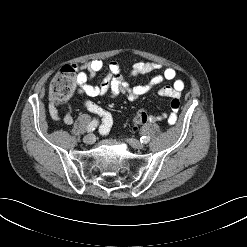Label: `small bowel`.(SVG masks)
<instances>
[{"label":"small bowel","mask_w":247,"mask_h":247,"mask_svg":"<svg viewBox=\"0 0 247 247\" xmlns=\"http://www.w3.org/2000/svg\"><path fill=\"white\" fill-rule=\"evenodd\" d=\"M74 67L78 69L76 76L78 93L86 97L82 99V106L89 112L94 113L101 118V134L107 135L109 133L113 125V116L111 112L91 101L89 98L110 93L112 97L123 94L129 100L133 101L149 93L155 86L166 80H172L173 84L171 86L159 88L157 94L160 97H166L171 100L172 112L169 115L164 114L162 117L166 118L170 123H173L176 120L178 109L172 108V102L176 99L179 100L185 84L181 78H178V72L175 68L167 67L163 71L157 73L161 69L160 64L156 62H136L132 65L126 76L122 74L121 67L116 61H110L105 65L102 60L93 59L87 63ZM104 69H106V73L100 84H91V79ZM152 73H154V75L148 83L135 86L130 84L131 78ZM50 114L54 119L61 120L67 125L72 124L74 121L70 105L68 106V111L62 116L59 114L57 108L51 105ZM151 120H155V117H151Z\"/></svg>","instance_id":"small-bowel-1"}]
</instances>
